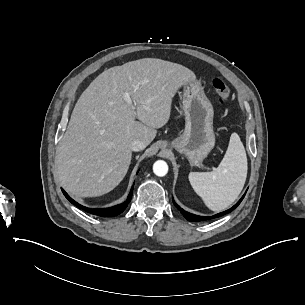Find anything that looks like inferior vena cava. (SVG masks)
<instances>
[{
    "label": "inferior vena cava",
    "mask_w": 305,
    "mask_h": 305,
    "mask_svg": "<svg viewBox=\"0 0 305 305\" xmlns=\"http://www.w3.org/2000/svg\"><path fill=\"white\" fill-rule=\"evenodd\" d=\"M146 146H147L146 143L139 139H135L130 142V148L133 151L143 150V149H145Z\"/></svg>",
    "instance_id": "inferior-vena-cava-1"
}]
</instances>
